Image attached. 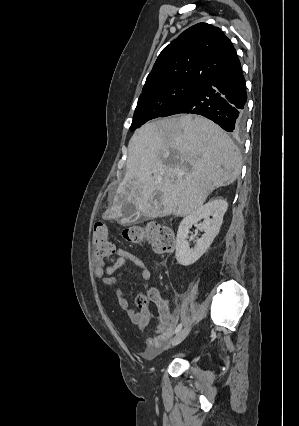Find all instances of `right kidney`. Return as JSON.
<instances>
[{
	"label": "right kidney",
	"instance_id": "ca27d5eb",
	"mask_svg": "<svg viewBox=\"0 0 299 426\" xmlns=\"http://www.w3.org/2000/svg\"><path fill=\"white\" fill-rule=\"evenodd\" d=\"M227 208L228 203L225 200L216 198L202 205L181 221L177 231L175 252L180 265L189 266L195 263L207 251L219 233ZM202 219L204 222L201 230L204 234L197 240L196 245L190 248L187 241L189 230Z\"/></svg>",
	"mask_w": 299,
	"mask_h": 426
}]
</instances>
